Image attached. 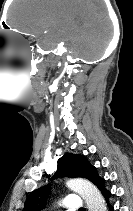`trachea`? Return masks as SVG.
<instances>
[{
	"label": "trachea",
	"instance_id": "trachea-1",
	"mask_svg": "<svg viewBox=\"0 0 133 211\" xmlns=\"http://www.w3.org/2000/svg\"><path fill=\"white\" fill-rule=\"evenodd\" d=\"M80 211H86V209L85 208H81Z\"/></svg>",
	"mask_w": 133,
	"mask_h": 211
}]
</instances>
